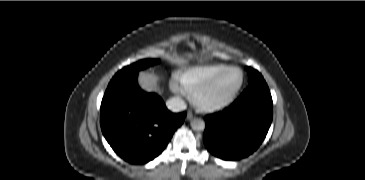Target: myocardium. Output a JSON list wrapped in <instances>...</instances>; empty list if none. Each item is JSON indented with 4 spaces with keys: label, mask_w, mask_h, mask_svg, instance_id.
Returning a JSON list of instances; mask_svg holds the SVG:
<instances>
[{
    "label": "myocardium",
    "mask_w": 365,
    "mask_h": 180,
    "mask_svg": "<svg viewBox=\"0 0 365 180\" xmlns=\"http://www.w3.org/2000/svg\"><path fill=\"white\" fill-rule=\"evenodd\" d=\"M230 70H237L241 74V80L238 85V87L235 89V91L232 93V95L227 98L226 100L218 103L213 104H204L200 101V96L203 92H205L208 88H210L215 81L223 75L225 72ZM245 83V74L244 71L238 67V66H227L226 68L222 69L218 73H216L214 76H212L209 80H207L205 83H203L201 86L196 88L194 92L191 94V100L194 106L201 112L211 113V112H217L220 110H223L230 105H232L236 99L238 98L243 86Z\"/></svg>",
    "instance_id": "myocardium-1"
}]
</instances>
